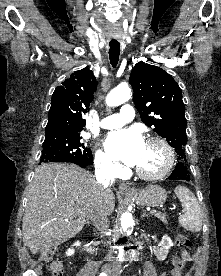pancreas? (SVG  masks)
<instances>
[{
    "label": "pancreas",
    "instance_id": "obj_1",
    "mask_svg": "<svg viewBox=\"0 0 221 276\" xmlns=\"http://www.w3.org/2000/svg\"><path fill=\"white\" fill-rule=\"evenodd\" d=\"M156 217H158L162 222L167 224L166 215L158 213L156 214Z\"/></svg>",
    "mask_w": 221,
    "mask_h": 276
}]
</instances>
